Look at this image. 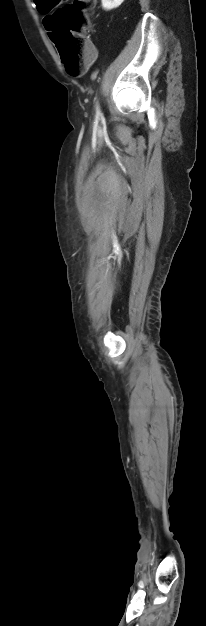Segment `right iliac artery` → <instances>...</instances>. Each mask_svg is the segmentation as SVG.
I'll return each instance as SVG.
<instances>
[{"label": "right iliac artery", "mask_w": 206, "mask_h": 626, "mask_svg": "<svg viewBox=\"0 0 206 626\" xmlns=\"http://www.w3.org/2000/svg\"><path fill=\"white\" fill-rule=\"evenodd\" d=\"M96 116H100V109H99V105L97 104L96 106Z\"/></svg>", "instance_id": "right-iliac-artery-1"}]
</instances>
